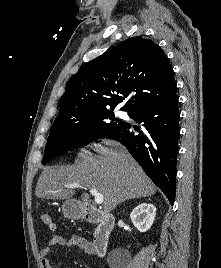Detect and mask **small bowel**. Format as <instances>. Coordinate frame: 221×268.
Wrapping results in <instances>:
<instances>
[{"mask_svg": "<svg viewBox=\"0 0 221 268\" xmlns=\"http://www.w3.org/2000/svg\"><path fill=\"white\" fill-rule=\"evenodd\" d=\"M56 247L78 248V249L84 250L87 254H90V255L94 254L93 244L82 236L55 235L50 239L48 244L43 249H41L39 253L40 258H41L42 268H53L49 255L52 252V250Z\"/></svg>", "mask_w": 221, "mask_h": 268, "instance_id": "1", "label": "small bowel"}]
</instances>
